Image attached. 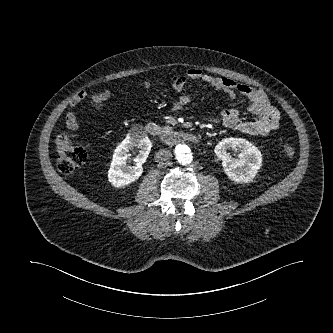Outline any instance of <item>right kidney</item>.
I'll use <instances>...</instances> for the list:
<instances>
[{
    "label": "right kidney",
    "instance_id": "ca27d5eb",
    "mask_svg": "<svg viewBox=\"0 0 333 333\" xmlns=\"http://www.w3.org/2000/svg\"><path fill=\"white\" fill-rule=\"evenodd\" d=\"M152 143L145 135H130L115 149L108 171L109 182L116 188L127 186L135 182L143 173L142 164L145 163ZM137 148L138 155L133 166L127 165L129 150Z\"/></svg>",
    "mask_w": 333,
    "mask_h": 333
}]
</instances>
